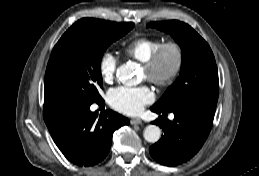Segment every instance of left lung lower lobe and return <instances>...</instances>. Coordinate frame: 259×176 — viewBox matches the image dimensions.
Wrapping results in <instances>:
<instances>
[{"instance_id": "0a47b994", "label": "left lung lower lobe", "mask_w": 259, "mask_h": 176, "mask_svg": "<svg viewBox=\"0 0 259 176\" xmlns=\"http://www.w3.org/2000/svg\"><path fill=\"white\" fill-rule=\"evenodd\" d=\"M156 113H174V120L160 118L153 123L159 125L164 134L150 147V154L158 163L176 166L191 159L206 141L214 119L215 110L185 105L172 111L151 107Z\"/></svg>"}]
</instances>
